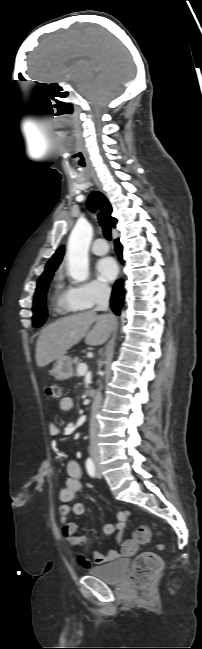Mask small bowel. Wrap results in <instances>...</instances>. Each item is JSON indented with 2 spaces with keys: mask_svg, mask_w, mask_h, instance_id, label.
Returning a JSON list of instances; mask_svg holds the SVG:
<instances>
[{
  "mask_svg": "<svg viewBox=\"0 0 202 649\" xmlns=\"http://www.w3.org/2000/svg\"><path fill=\"white\" fill-rule=\"evenodd\" d=\"M74 402L71 397H64L59 402V408L63 412H70L73 409ZM49 433L53 438L63 435V431L54 423L49 425ZM67 479L65 487L59 493V499L62 505L59 508L60 523L62 526V533L66 541L73 547H80L86 544V533L92 532V529L81 528L76 522H70L68 517L70 514L83 515L85 506L82 503H73L76 494L82 488V469L77 460H70L66 464ZM130 517V512L126 509L119 511L116 521L113 524H107L103 527V532L106 535H116V540L119 543L117 549H112L107 552L92 551L89 556L82 553H76L78 564L85 569H89L93 564H104L113 561L121 556L122 552V539L123 529ZM82 530L84 534H78V530Z\"/></svg>",
  "mask_w": 202,
  "mask_h": 649,
  "instance_id": "small-bowel-1",
  "label": "small bowel"
}]
</instances>
